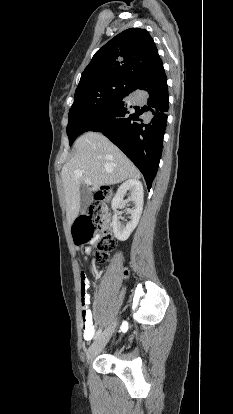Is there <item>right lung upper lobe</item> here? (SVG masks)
<instances>
[{"mask_svg": "<svg viewBox=\"0 0 233 414\" xmlns=\"http://www.w3.org/2000/svg\"><path fill=\"white\" fill-rule=\"evenodd\" d=\"M163 69L148 31L127 29L95 53L82 73L76 92L102 80L135 81L153 76Z\"/></svg>", "mask_w": 233, "mask_h": 414, "instance_id": "1", "label": "right lung upper lobe"}]
</instances>
